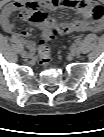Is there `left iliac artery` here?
<instances>
[{"mask_svg":"<svg viewBox=\"0 0 104 137\" xmlns=\"http://www.w3.org/2000/svg\"><path fill=\"white\" fill-rule=\"evenodd\" d=\"M79 43H80V40H79V39H75V40L73 41V44H74V45H79Z\"/></svg>","mask_w":104,"mask_h":137,"instance_id":"left-iliac-artery-1","label":"left iliac artery"}]
</instances>
